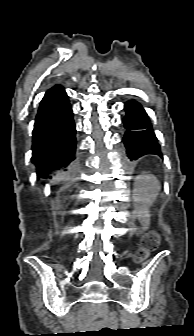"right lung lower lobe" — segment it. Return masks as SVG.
Returning a JSON list of instances; mask_svg holds the SVG:
<instances>
[{"mask_svg": "<svg viewBox=\"0 0 194 336\" xmlns=\"http://www.w3.org/2000/svg\"><path fill=\"white\" fill-rule=\"evenodd\" d=\"M68 96L61 86L48 90L41 101L33 130L32 161L37 176L47 177L75 159L76 128Z\"/></svg>", "mask_w": 194, "mask_h": 336, "instance_id": "1", "label": "right lung lower lobe"}]
</instances>
